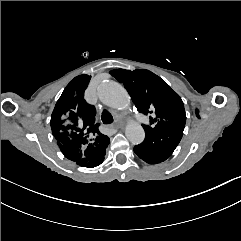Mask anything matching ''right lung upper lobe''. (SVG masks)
I'll use <instances>...</instances> for the list:
<instances>
[{
    "label": "right lung upper lobe",
    "mask_w": 241,
    "mask_h": 241,
    "mask_svg": "<svg viewBox=\"0 0 241 241\" xmlns=\"http://www.w3.org/2000/svg\"><path fill=\"white\" fill-rule=\"evenodd\" d=\"M91 76L75 77L64 89L51 116V130L63 155L82 167H92L109 143L99 131L96 110L84 99Z\"/></svg>",
    "instance_id": "obj_1"
}]
</instances>
